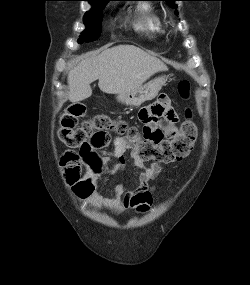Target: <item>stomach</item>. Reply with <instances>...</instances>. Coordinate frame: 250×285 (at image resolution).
Instances as JSON below:
<instances>
[{"mask_svg":"<svg viewBox=\"0 0 250 285\" xmlns=\"http://www.w3.org/2000/svg\"><path fill=\"white\" fill-rule=\"evenodd\" d=\"M166 77L155 78L145 84H142L131 91L117 94V100L127 106L139 107L146 101L154 99L162 86L166 83Z\"/></svg>","mask_w":250,"mask_h":285,"instance_id":"1","label":"stomach"}]
</instances>
